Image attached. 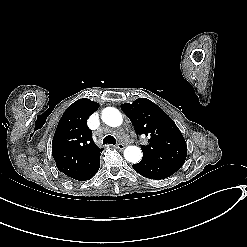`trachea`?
Wrapping results in <instances>:
<instances>
[{
    "mask_svg": "<svg viewBox=\"0 0 247 247\" xmlns=\"http://www.w3.org/2000/svg\"><path fill=\"white\" fill-rule=\"evenodd\" d=\"M105 144L115 145L116 144V139L111 135H107L103 139V145H105Z\"/></svg>",
    "mask_w": 247,
    "mask_h": 247,
    "instance_id": "trachea-1",
    "label": "trachea"
}]
</instances>
